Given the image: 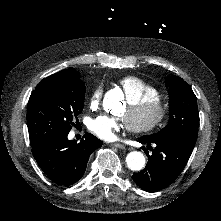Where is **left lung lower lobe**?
I'll use <instances>...</instances> for the list:
<instances>
[{
    "mask_svg": "<svg viewBox=\"0 0 221 221\" xmlns=\"http://www.w3.org/2000/svg\"><path fill=\"white\" fill-rule=\"evenodd\" d=\"M138 142L153 151L149 155L148 150L141 147L148 156V164L144 170L133 174L135 183L147 192L159 191L173 183L186 166L194 148L173 136L145 135ZM151 144L156 147L152 149Z\"/></svg>",
    "mask_w": 221,
    "mask_h": 221,
    "instance_id": "left-lung-lower-lobe-1",
    "label": "left lung lower lobe"
}]
</instances>
